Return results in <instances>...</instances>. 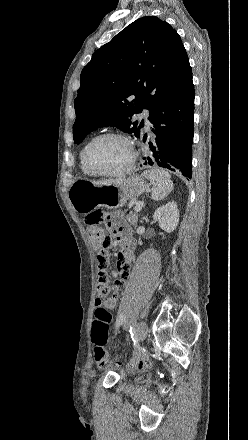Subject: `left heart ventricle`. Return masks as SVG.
I'll list each match as a JSON object with an SVG mask.
<instances>
[{
  "label": "left heart ventricle",
  "instance_id": "b2bd125f",
  "mask_svg": "<svg viewBox=\"0 0 248 440\" xmlns=\"http://www.w3.org/2000/svg\"><path fill=\"white\" fill-rule=\"evenodd\" d=\"M130 158L127 143L119 138H105L91 149L89 160L98 172H115L123 169Z\"/></svg>",
  "mask_w": 248,
  "mask_h": 440
}]
</instances>
